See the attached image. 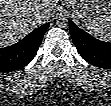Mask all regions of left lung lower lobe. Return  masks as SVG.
<instances>
[{"label": "left lung lower lobe", "instance_id": "left-lung-lower-lobe-1", "mask_svg": "<svg viewBox=\"0 0 111 106\" xmlns=\"http://www.w3.org/2000/svg\"><path fill=\"white\" fill-rule=\"evenodd\" d=\"M72 40L80 55L92 65L111 68V43L102 42L79 29L69 20Z\"/></svg>", "mask_w": 111, "mask_h": 106}]
</instances>
